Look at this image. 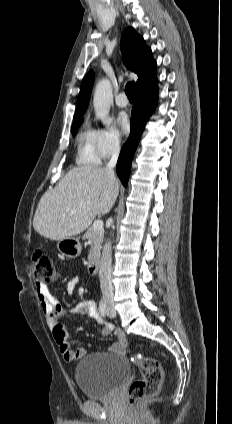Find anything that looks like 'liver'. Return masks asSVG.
I'll return each instance as SVG.
<instances>
[{"instance_id": "6515ba94", "label": "liver", "mask_w": 232, "mask_h": 424, "mask_svg": "<svg viewBox=\"0 0 232 424\" xmlns=\"http://www.w3.org/2000/svg\"><path fill=\"white\" fill-rule=\"evenodd\" d=\"M118 193V181H113L105 168L92 165L73 168L41 197L33 227L51 240L78 235L91 225L97 214L110 212Z\"/></svg>"}]
</instances>
